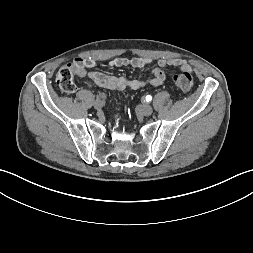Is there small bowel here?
Segmentation results:
<instances>
[{
  "instance_id": "small-bowel-1",
  "label": "small bowel",
  "mask_w": 253,
  "mask_h": 253,
  "mask_svg": "<svg viewBox=\"0 0 253 253\" xmlns=\"http://www.w3.org/2000/svg\"><path fill=\"white\" fill-rule=\"evenodd\" d=\"M151 59L147 58H132L128 59L125 57H116L108 62L109 68H119L131 66L134 69L145 68ZM97 60L92 57L77 58L73 62V66L76 68V73L80 77L87 78L90 82L96 85L109 89L111 91H124V90H137L147 85L157 87L165 82V74L163 71L164 67H177L183 71L189 70L190 65L186 60L180 58H169L159 59L157 64L158 67L151 70V76L145 80H130L125 77H118L109 74H105L99 71L87 70V68H93L96 66ZM99 70L104 71L107 68L106 63L101 62L98 65Z\"/></svg>"
}]
</instances>
